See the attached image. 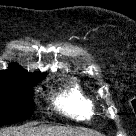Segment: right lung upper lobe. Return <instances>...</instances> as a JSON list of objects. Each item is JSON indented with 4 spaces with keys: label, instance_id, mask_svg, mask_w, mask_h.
I'll use <instances>...</instances> for the list:
<instances>
[{
    "label": "right lung upper lobe",
    "instance_id": "obj_1",
    "mask_svg": "<svg viewBox=\"0 0 136 136\" xmlns=\"http://www.w3.org/2000/svg\"><path fill=\"white\" fill-rule=\"evenodd\" d=\"M40 76L42 75L28 73L17 64H11L8 70L0 71V81H7L16 78H38Z\"/></svg>",
    "mask_w": 136,
    "mask_h": 136
}]
</instances>
